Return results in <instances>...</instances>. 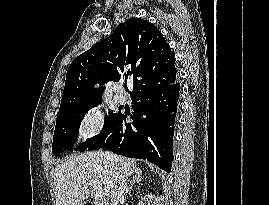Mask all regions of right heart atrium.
I'll return each mask as SVG.
<instances>
[{
    "label": "right heart atrium",
    "mask_w": 269,
    "mask_h": 205,
    "mask_svg": "<svg viewBox=\"0 0 269 205\" xmlns=\"http://www.w3.org/2000/svg\"><path fill=\"white\" fill-rule=\"evenodd\" d=\"M106 126V115L100 109L90 108L78 119L75 132L82 142H88L101 136Z\"/></svg>",
    "instance_id": "d8ad5b80"
}]
</instances>
